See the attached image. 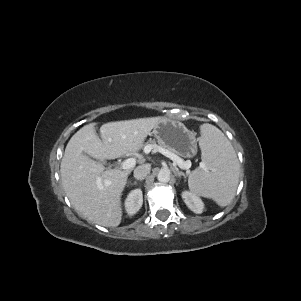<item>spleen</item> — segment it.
I'll return each mask as SVG.
<instances>
[{
  "instance_id": "3e777b00",
  "label": "spleen",
  "mask_w": 301,
  "mask_h": 301,
  "mask_svg": "<svg viewBox=\"0 0 301 301\" xmlns=\"http://www.w3.org/2000/svg\"><path fill=\"white\" fill-rule=\"evenodd\" d=\"M200 138L204 170H194L188 186L196 195L227 206L235 196L239 182V162L226 136L215 126L203 124Z\"/></svg>"
}]
</instances>
